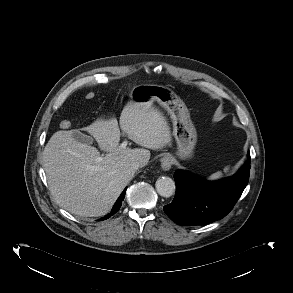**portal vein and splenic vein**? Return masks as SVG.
I'll use <instances>...</instances> for the list:
<instances>
[{
	"mask_svg": "<svg viewBox=\"0 0 293 293\" xmlns=\"http://www.w3.org/2000/svg\"><path fill=\"white\" fill-rule=\"evenodd\" d=\"M127 144H128V141L125 140V141L120 145V148H123V149L126 148ZM98 160L101 161V160H102V157L98 158Z\"/></svg>",
	"mask_w": 293,
	"mask_h": 293,
	"instance_id": "18ae733b",
	"label": "portal vein and splenic vein"
}]
</instances>
